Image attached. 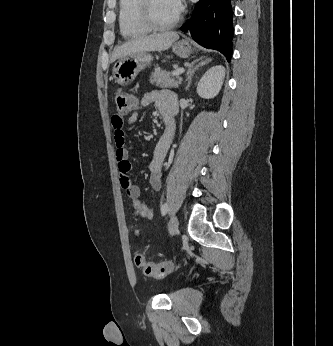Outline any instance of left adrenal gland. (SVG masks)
<instances>
[{"label":"left adrenal gland","mask_w":333,"mask_h":346,"mask_svg":"<svg viewBox=\"0 0 333 346\" xmlns=\"http://www.w3.org/2000/svg\"><path fill=\"white\" fill-rule=\"evenodd\" d=\"M203 58L205 57H201L199 59L194 60L191 65L189 66L187 73H186V81H187V86H186V90L189 89L190 84H191V78L193 76V74L195 73V71L197 69H199V67H202L203 65H206L207 63H209L212 59L211 58H206L205 60H203ZM201 60V61H200ZM200 61V62H199ZM199 62V63H198ZM196 63H198L197 65H195Z\"/></svg>","instance_id":"obj_1"}]
</instances>
